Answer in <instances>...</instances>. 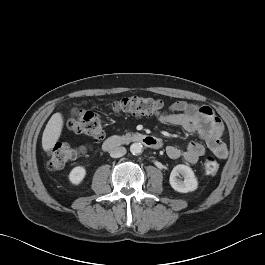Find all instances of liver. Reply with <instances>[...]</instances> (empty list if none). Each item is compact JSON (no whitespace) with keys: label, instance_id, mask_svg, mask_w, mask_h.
Here are the masks:
<instances>
[{"label":"liver","instance_id":"liver-1","mask_svg":"<svg viewBox=\"0 0 265 265\" xmlns=\"http://www.w3.org/2000/svg\"><path fill=\"white\" fill-rule=\"evenodd\" d=\"M63 128V116L61 113H55L48 121L42 136V148L49 151L60 138Z\"/></svg>","mask_w":265,"mask_h":265}]
</instances>
